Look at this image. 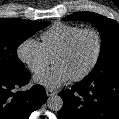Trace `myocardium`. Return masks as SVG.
<instances>
[{"instance_id": "1", "label": "myocardium", "mask_w": 119, "mask_h": 119, "mask_svg": "<svg viewBox=\"0 0 119 119\" xmlns=\"http://www.w3.org/2000/svg\"><path fill=\"white\" fill-rule=\"evenodd\" d=\"M85 33H90L95 37L96 52H95L94 58H93L92 62L90 63V65L81 74L71 78V80L75 81V82L81 81V80L85 79L86 77H88L93 72L95 67L97 66V64L100 60L101 54H102V47H103L102 38H101L100 33L93 28L80 29L79 31H77L75 34H73L70 37V39L66 42V44L56 53V55L53 58V62H54V60L56 58L67 54L72 49V47L74 46V44L78 40V38Z\"/></svg>"}]
</instances>
